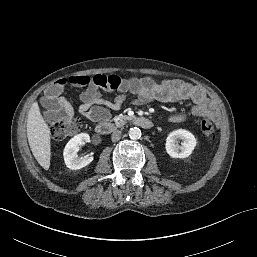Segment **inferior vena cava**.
Masks as SVG:
<instances>
[{
  "mask_svg": "<svg viewBox=\"0 0 257 257\" xmlns=\"http://www.w3.org/2000/svg\"><path fill=\"white\" fill-rule=\"evenodd\" d=\"M120 138H121V131L115 130V131L112 133V137H111L112 141H113V142H116V141H118Z\"/></svg>",
  "mask_w": 257,
  "mask_h": 257,
  "instance_id": "obj_1",
  "label": "inferior vena cava"
}]
</instances>
